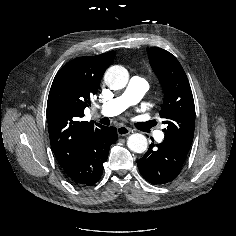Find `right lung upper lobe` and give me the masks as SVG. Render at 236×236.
I'll use <instances>...</instances> for the list:
<instances>
[{
    "label": "right lung upper lobe",
    "mask_w": 236,
    "mask_h": 236,
    "mask_svg": "<svg viewBox=\"0 0 236 236\" xmlns=\"http://www.w3.org/2000/svg\"><path fill=\"white\" fill-rule=\"evenodd\" d=\"M114 57L111 51L75 58L53 80L47 102L48 130L51 149L65 172L78 162L91 134L102 127L80 118Z\"/></svg>",
    "instance_id": "obj_1"
}]
</instances>
